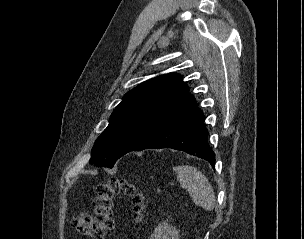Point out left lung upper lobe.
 <instances>
[{"instance_id": "left-lung-upper-lobe-1", "label": "left lung upper lobe", "mask_w": 304, "mask_h": 239, "mask_svg": "<svg viewBox=\"0 0 304 239\" xmlns=\"http://www.w3.org/2000/svg\"><path fill=\"white\" fill-rule=\"evenodd\" d=\"M179 74H164L129 91L115 108L92 148L91 164L112 168L115 162L158 127L196 100Z\"/></svg>"}]
</instances>
